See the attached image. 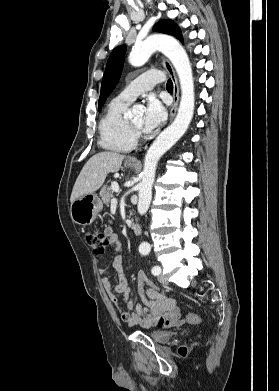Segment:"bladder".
Masks as SVG:
<instances>
[{"instance_id":"1","label":"bladder","mask_w":279,"mask_h":391,"mask_svg":"<svg viewBox=\"0 0 279 391\" xmlns=\"http://www.w3.org/2000/svg\"><path fill=\"white\" fill-rule=\"evenodd\" d=\"M174 335L173 331H153L149 333L150 338L157 343H166L168 342Z\"/></svg>"}]
</instances>
